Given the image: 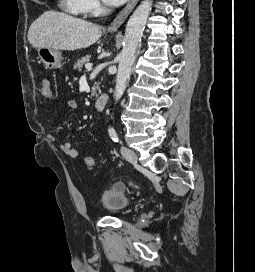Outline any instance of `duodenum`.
I'll return each instance as SVG.
<instances>
[{"label":"duodenum","instance_id":"410a0bca","mask_svg":"<svg viewBox=\"0 0 255 272\" xmlns=\"http://www.w3.org/2000/svg\"><path fill=\"white\" fill-rule=\"evenodd\" d=\"M109 101V96L106 93L101 94L95 101V108L98 111H103Z\"/></svg>","mask_w":255,"mask_h":272}]
</instances>
